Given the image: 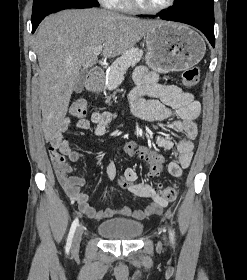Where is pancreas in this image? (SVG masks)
Returning <instances> with one entry per match:
<instances>
[{
	"mask_svg": "<svg viewBox=\"0 0 247 280\" xmlns=\"http://www.w3.org/2000/svg\"><path fill=\"white\" fill-rule=\"evenodd\" d=\"M143 56V51L137 47L127 50L114 61L106 73V83L109 90L116 88L123 79V74L129 67H133Z\"/></svg>",
	"mask_w": 247,
	"mask_h": 280,
	"instance_id": "cf45deb5",
	"label": "pancreas"
}]
</instances>
